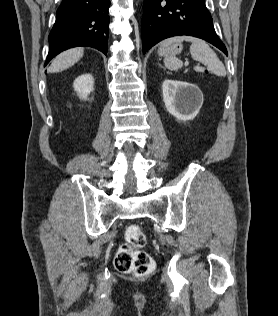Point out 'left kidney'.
Returning <instances> with one entry per match:
<instances>
[{"instance_id": "1", "label": "left kidney", "mask_w": 278, "mask_h": 316, "mask_svg": "<svg viewBox=\"0 0 278 316\" xmlns=\"http://www.w3.org/2000/svg\"><path fill=\"white\" fill-rule=\"evenodd\" d=\"M163 100L170 114L181 121L194 119L203 104V94L194 84L166 79L162 84Z\"/></svg>"}]
</instances>
